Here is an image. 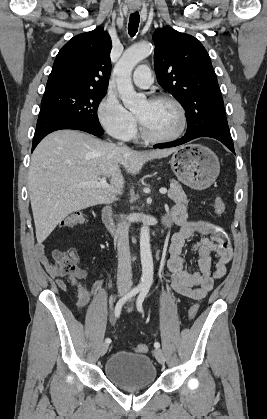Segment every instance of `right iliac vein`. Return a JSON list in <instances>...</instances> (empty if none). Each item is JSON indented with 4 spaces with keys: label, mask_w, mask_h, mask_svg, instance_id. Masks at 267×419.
<instances>
[{
    "label": "right iliac vein",
    "mask_w": 267,
    "mask_h": 419,
    "mask_svg": "<svg viewBox=\"0 0 267 419\" xmlns=\"http://www.w3.org/2000/svg\"><path fill=\"white\" fill-rule=\"evenodd\" d=\"M124 295V292L121 293V296ZM109 344L108 343H102L101 347H100V355L103 356L108 349Z\"/></svg>",
    "instance_id": "63e3f726"
}]
</instances>
